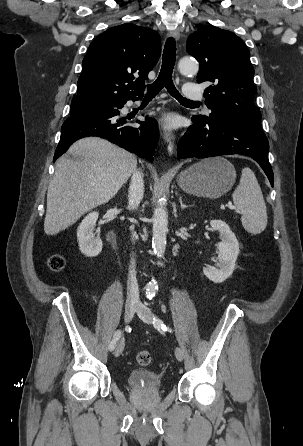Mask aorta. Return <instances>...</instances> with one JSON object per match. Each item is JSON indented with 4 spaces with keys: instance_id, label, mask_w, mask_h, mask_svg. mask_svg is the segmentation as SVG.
I'll return each mask as SVG.
<instances>
[{
    "instance_id": "obj_1",
    "label": "aorta",
    "mask_w": 303,
    "mask_h": 446,
    "mask_svg": "<svg viewBox=\"0 0 303 446\" xmlns=\"http://www.w3.org/2000/svg\"><path fill=\"white\" fill-rule=\"evenodd\" d=\"M179 70L182 74L185 75H194L198 72L199 66L198 64L190 59H181L179 61ZM153 237H152V248L154 254L161 258L163 257L166 249V235L168 231V214L165 207V202H158L157 207L154 210L153 214ZM158 289L157 282L152 281L149 282L146 286V291L149 296H153Z\"/></svg>"
}]
</instances>
